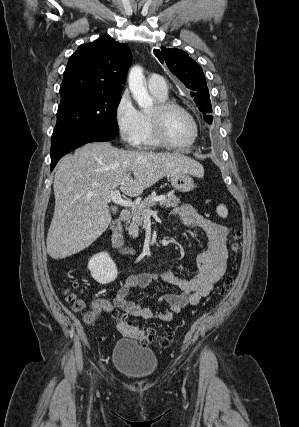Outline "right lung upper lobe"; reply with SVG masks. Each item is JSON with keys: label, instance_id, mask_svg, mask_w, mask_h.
Returning a JSON list of instances; mask_svg holds the SVG:
<instances>
[{"label": "right lung upper lobe", "instance_id": "1", "mask_svg": "<svg viewBox=\"0 0 299 427\" xmlns=\"http://www.w3.org/2000/svg\"><path fill=\"white\" fill-rule=\"evenodd\" d=\"M131 62L125 44L103 38L80 45L63 73L61 99L80 93L120 94Z\"/></svg>", "mask_w": 299, "mask_h": 427}]
</instances>
